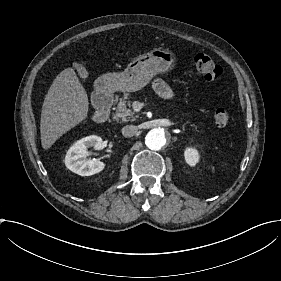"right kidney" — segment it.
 <instances>
[{"label":"right kidney","mask_w":281,"mask_h":281,"mask_svg":"<svg viewBox=\"0 0 281 281\" xmlns=\"http://www.w3.org/2000/svg\"><path fill=\"white\" fill-rule=\"evenodd\" d=\"M93 147L95 150L103 149L102 139L91 135L75 142L67 151L65 165L72 172L81 176H90L102 171L105 164L99 159H87V149Z\"/></svg>","instance_id":"1"}]
</instances>
